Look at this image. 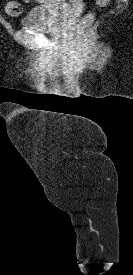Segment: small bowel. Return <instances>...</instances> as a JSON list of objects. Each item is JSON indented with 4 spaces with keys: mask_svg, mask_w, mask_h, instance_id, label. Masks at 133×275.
Masks as SVG:
<instances>
[{
    "mask_svg": "<svg viewBox=\"0 0 133 275\" xmlns=\"http://www.w3.org/2000/svg\"><path fill=\"white\" fill-rule=\"evenodd\" d=\"M26 2H29L30 0H25Z\"/></svg>",
    "mask_w": 133,
    "mask_h": 275,
    "instance_id": "c3829d8e",
    "label": "small bowel"
}]
</instances>
